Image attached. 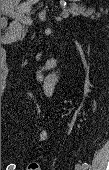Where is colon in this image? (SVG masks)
<instances>
[{
  "label": "colon",
  "instance_id": "colon-1",
  "mask_svg": "<svg viewBox=\"0 0 109 170\" xmlns=\"http://www.w3.org/2000/svg\"><path fill=\"white\" fill-rule=\"evenodd\" d=\"M27 170H41V167L39 164L33 163L27 167Z\"/></svg>",
  "mask_w": 109,
  "mask_h": 170
}]
</instances>
